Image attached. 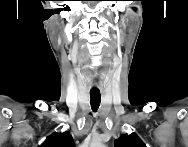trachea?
<instances>
[{
	"instance_id": "1",
	"label": "trachea",
	"mask_w": 188,
	"mask_h": 147,
	"mask_svg": "<svg viewBox=\"0 0 188 147\" xmlns=\"http://www.w3.org/2000/svg\"><path fill=\"white\" fill-rule=\"evenodd\" d=\"M101 95L98 93H90V104L93 111H97L100 106Z\"/></svg>"
}]
</instances>
